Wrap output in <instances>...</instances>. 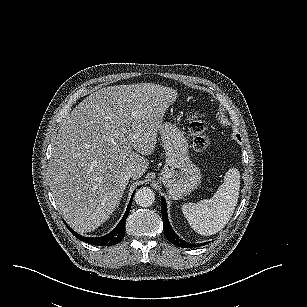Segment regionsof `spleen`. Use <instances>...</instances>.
Masks as SVG:
<instances>
[{
	"mask_svg": "<svg viewBox=\"0 0 307 307\" xmlns=\"http://www.w3.org/2000/svg\"><path fill=\"white\" fill-rule=\"evenodd\" d=\"M241 176L237 168L225 174L224 182L213 197L197 204L182 206L189 225L202 236H211L221 231L230 221L240 195Z\"/></svg>",
	"mask_w": 307,
	"mask_h": 307,
	"instance_id": "3e777b00",
	"label": "spleen"
}]
</instances>
